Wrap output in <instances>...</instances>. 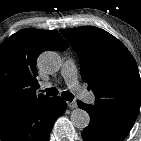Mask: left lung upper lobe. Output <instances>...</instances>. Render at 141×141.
<instances>
[{
    "mask_svg": "<svg viewBox=\"0 0 141 141\" xmlns=\"http://www.w3.org/2000/svg\"><path fill=\"white\" fill-rule=\"evenodd\" d=\"M80 57L81 77L95 93V104L118 112H138L141 80L128 49L103 29L84 26L62 29Z\"/></svg>",
    "mask_w": 141,
    "mask_h": 141,
    "instance_id": "5c2ea615",
    "label": "left lung upper lobe"
}]
</instances>
